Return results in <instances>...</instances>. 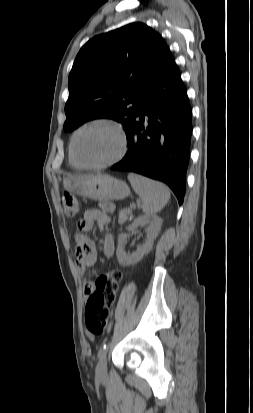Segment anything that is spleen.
Returning <instances> with one entry per match:
<instances>
[{"label":"spleen","instance_id":"1","mask_svg":"<svg viewBox=\"0 0 253 413\" xmlns=\"http://www.w3.org/2000/svg\"><path fill=\"white\" fill-rule=\"evenodd\" d=\"M128 180L142 200L144 213L153 215L168 203L170 192L164 184L135 173L128 174Z\"/></svg>","mask_w":253,"mask_h":413}]
</instances>
